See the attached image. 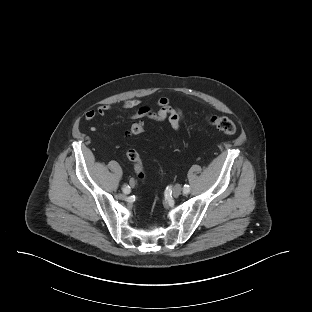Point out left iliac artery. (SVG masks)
<instances>
[{"label": "left iliac artery", "mask_w": 312, "mask_h": 312, "mask_svg": "<svg viewBox=\"0 0 312 312\" xmlns=\"http://www.w3.org/2000/svg\"><path fill=\"white\" fill-rule=\"evenodd\" d=\"M189 191H190V187H189V185H184V188H183V192L185 193V194H187V193H189Z\"/></svg>", "instance_id": "obj_1"}]
</instances>
